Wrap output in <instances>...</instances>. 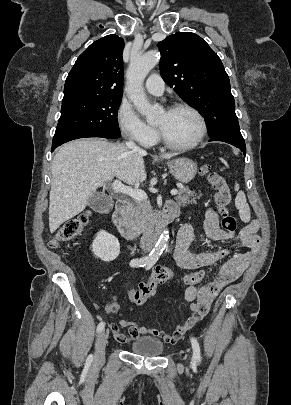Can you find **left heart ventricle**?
<instances>
[{"label":"left heart ventricle","mask_w":291,"mask_h":405,"mask_svg":"<svg viewBox=\"0 0 291 405\" xmlns=\"http://www.w3.org/2000/svg\"><path fill=\"white\" fill-rule=\"evenodd\" d=\"M155 125L162 130L169 141L176 144L192 142L200 129L196 116L185 109L162 111L157 117Z\"/></svg>","instance_id":"b2bd125f"}]
</instances>
